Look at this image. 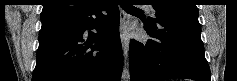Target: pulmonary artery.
<instances>
[{
    "label": "pulmonary artery",
    "instance_id": "obj_1",
    "mask_svg": "<svg viewBox=\"0 0 237 81\" xmlns=\"http://www.w3.org/2000/svg\"><path fill=\"white\" fill-rule=\"evenodd\" d=\"M149 9H150L151 12H153V9L151 7Z\"/></svg>",
    "mask_w": 237,
    "mask_h": 81
}]
</instances>
